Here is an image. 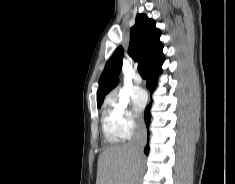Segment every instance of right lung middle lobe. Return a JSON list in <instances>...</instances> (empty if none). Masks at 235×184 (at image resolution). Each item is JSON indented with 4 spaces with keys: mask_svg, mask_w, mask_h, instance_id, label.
<instances>
[{
    "mask_svg": "<svg viewBox=\"0 0 235 184\" xmlns=\"http://www.w3.org/2000/svg\"><path fill=\"white\" fill-rule=\"evenodd\" d=\"M97 106H98V108H100L101 105H97Z\"/></svg>",
    "mask_w": 235,
    "mask_h": 184,
    "instance_id": "obj_1",
    "label": "right lung middle lobe"
}]
</instances>
